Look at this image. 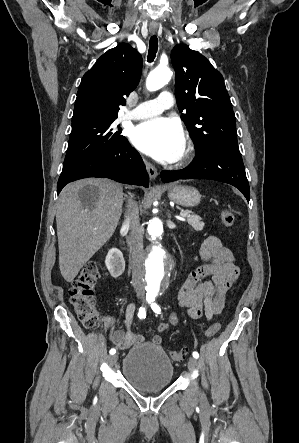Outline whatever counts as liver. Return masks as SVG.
<instances>
[{"instance_id":"1","label":"liver","mask_w":299,"mask_h":443,"mask_svg":"<svg viewBox=\"0 0 299 443\" xmlns=\"http://www.w3.org/2000/svg\"><path fill=\"white\" fill-rule=\"evenodd\" d=\"M123 188L108 179L72 182L56 205L59 268L67 282L113 235L122 214Z\"/></svg>"}]
</instances>
